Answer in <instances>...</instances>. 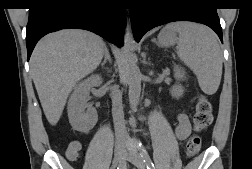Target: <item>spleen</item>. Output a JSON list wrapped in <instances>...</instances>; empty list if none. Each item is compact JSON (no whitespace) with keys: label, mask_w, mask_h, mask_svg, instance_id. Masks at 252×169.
Returning a JSON list of instances; mask_svg holds the SVG:
<instances>
[{"label":"spleen","mask_w":252,"mask_h":169,"mask_svg":"<svg viewBox=\"0 0 252 169\" xmlns=\"http://www.w3.org/2000/svg\"><path fill=\"white\" fill-rule=\"evenodd\" d=\"M178 33V56L193 71L201 90L216 93L222 76V54L215 34L206 26L181 22L171 25Z\"/></svg>","instance_id":"spleen-1"}]
</instances>
